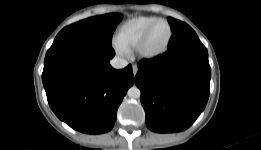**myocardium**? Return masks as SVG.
Here are the masks:
<instances>
[{
  "mask_svg": "<svg viewBox=\"0 0 261 150\" xmlns=\"http://www.w3.org/2000/svg\"><path fill=\"white\" fill-rule=\"evenodd\" d=\"M165 23L168 28H169V35L167 38V41L165 43V45L163 46L162 49L156 51V52H150L147 50V41L149 38V35L152 31V29L158 24V23ZM173 39V28L172 25L166 20V19H162L159 18L156 21H154L153 23H151L143 32L142 36L140 37L137 45H136V52L138 54V56L144 60H156L160 57H162L164 54H166V52L168 51L170 44L172 42Z\"/></svg>",
  "mask_w": 261,
  "mask_h": 150,
  "instance_id": "f54148a6",
  "label": "myocardium"
}]
</instances>
